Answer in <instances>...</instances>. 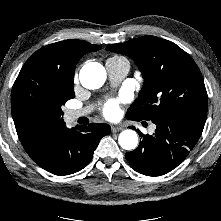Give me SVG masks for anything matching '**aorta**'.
<instances>
[{
    "mask_svg": "<svg viewBox=\"0 0 221 221\" xmlns=\"http://www.w3.org/2000/svg\"><path fill=\"white\" fill-rule=\"evenodd\" d=\"M105 68L97 63L90 62L84 65L79 73L81 84L87 89H98L106 81ZM119 145L125 150H134L138 146V135L134 130L127 129L120 133Z\"/></svg>",
    "mask_w": 221,
    "mask_h": 221,
    "instance_id": "1",
    "label": "aorta"
}]
</instances>
